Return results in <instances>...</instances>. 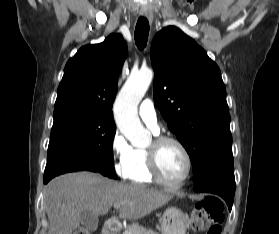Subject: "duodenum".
I'll use <instances>...</instances> for the list:
<instances>
[{
    "instance_id": "410a0bca",
    "label": "duodenum",
    "mask_w": 279,
    "mask_h": 234,
    "mask_svg": "<svg viewBox=\"0 0 279 234\" xmlns=\"http://www.w3.org/2000/svg\"><path fill=\"white\" fill-rule=\"evenodd\" d=\"M119 230L118 223L113 219H109L104 224L102 234H118Z\"/></svg>"
}]
</instances>
